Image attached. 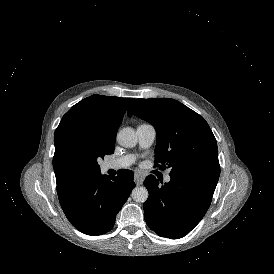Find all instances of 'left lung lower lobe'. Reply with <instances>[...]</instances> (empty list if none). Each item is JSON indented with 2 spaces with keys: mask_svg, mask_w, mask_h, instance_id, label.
Here are the masks:
<instances>
[{
  "mask_svg": "<svg viewBox=\"0 0 274 274\" xmlns=\"http://www.w3.org/2000/svg\"><path fill=\"white\" fill-rule=\"evenodd\" d=\"M170 176V182L164 185L154 175L146 177L144 185L149 197L144 203V217L159 236L179 239L205 215L217 181L197 176Z\"/></svg>",
  "mask_w": 274,
  "mask_h": 274,
  "instance_id": "obj_1",
  "label": "left lung lower lobe"
}]
</instances>
